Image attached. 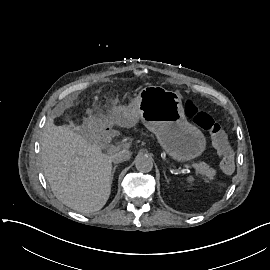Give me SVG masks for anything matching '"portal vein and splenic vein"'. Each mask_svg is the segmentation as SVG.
<instances>
[{"label":"portal vein and splenic vein","instance_id":"obj_1","mask_svg":"<svg viewBox=\"0 0 270 270\" xmlns=\"http://www.w3.org/2000/svg\"><path fill=\"white\" fill-rule=\"evenodd\" d=\"M118 152V149L116 147H107L105 150H103V153H107V154H116ZM182 164V163H180ZM182 165H185L184 167L186 169H190L192 170L194 167L192 165H188V164H182Z\"/></svg>","mask_w":270,"mask_h":270}]
</instances>
